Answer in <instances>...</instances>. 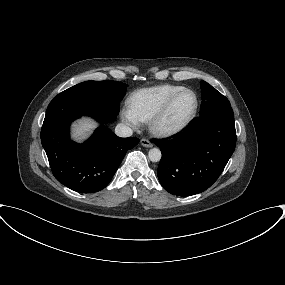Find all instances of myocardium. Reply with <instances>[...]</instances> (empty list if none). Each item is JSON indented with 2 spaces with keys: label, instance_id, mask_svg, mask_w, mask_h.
Segmentation results:
<instances>
[{
  "label": "myocardium",
  "instance_id": "f54148a6",
  "mask_svg": "<svg viewBox=\"0 0 285 285\" xmlns=\"http://www.w3.org/2000/svg\"><path fill=\"white\" fill-rule=\"evenodd\" d=\"M190 93L193 95L195 103L190 114L179 124L174 126L166 125L164 120L171 110L176 100L183 94ZM199 108V100L197 94L190 89H182L181 91L172 95L162 107L149 120V128L151 132L158 137H173L184 132L195 119Z\"/></svg>",
  "mask_w": 285,
  "mask_h": 285
}]
</instances>
